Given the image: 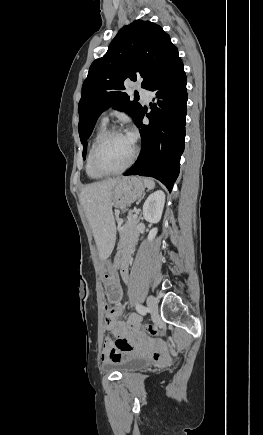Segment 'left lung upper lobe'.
I'll return each mask as SVG.
<instances>
[{
	"instance_id": "left-lung-upper-lobe-1",
	"label": "left lung upper lobe",
	"mask_w": 263,
	"mask_h": 435,
	"mask_svg": "<svg viewBox=\"0 0 263 435\" xmlns=\"http://www.w3.org/2000/svg\"><path fill=\"white\" fill-rule=\"evenodd\" d=\"M178 59V49L159 25L136 20L120 29L107 53L92 63L82 86L78 109L83 157L99 115L109 107L126 111L138 121L142 106L123 92L124 81L142 78L141 86L150 90Z\"/></svg>"
}]
</instances>
